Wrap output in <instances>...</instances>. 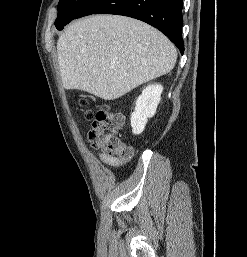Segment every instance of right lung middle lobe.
Instances as JSON below:
<instances>
[{"mask_svg":"<svg viewBox=\"0 0 247 257\" xmlns=\"http://www.w3.org/2000/svg\"><path fill=\"white\" fill-rule=\"evenodd\" d=\"M92 0H60L55 26L59 29L72 21Z\"/></svg>","mask_w":247,"mask_h":257,"instance_id":"1","label":"right lung middle lobe"}]
</instances>
